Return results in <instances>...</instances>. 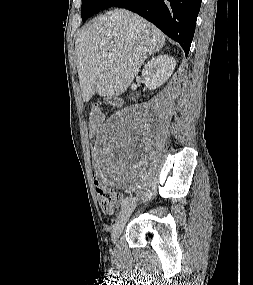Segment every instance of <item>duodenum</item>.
I'll list each match as a JSON object with an SVG mask.
<instances>
[{
	"mask_svg": "<svg viewBox=\"0 0 253 285\" xmlns=\"http://www.w3.org/2000/svg\"><path fill=\"white\" fill-rule=\"evenodd\" d=\"M109 102L117 107H119L122 104V101L120 99H110Z\"/></svg>",
	"mask_w": 253,
	"mask_h": 285,
	"instance_id": "410a0bca",
	"label": "duodenum"
}]
</instances>
